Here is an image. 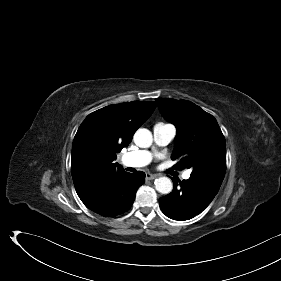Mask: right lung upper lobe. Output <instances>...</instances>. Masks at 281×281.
I'll return each mask as SVG.
<instances>
[{"label":"right lung upper lobe","mask_w":281,"mask_h":281,"mask_svg":"<svg viewBox=\"0 0 281 281\" xmlns=\"http://www.w3.org/2000/svg\"><path fill=\"white\" fill-rule=\"evenodd\" d=\"M155 108L152 101H132L106 106L86 117L75 135L71 155L72 178L80 198L123 171L113 163L116 153L128 146Z\"/></svg>","instance_id":"right-lung-upper-lobe-1"}]
</instances>
